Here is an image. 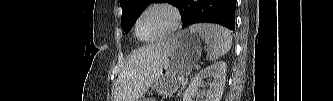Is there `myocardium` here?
<instances>
[{
  "label": "myocardium",
  "mask_w": 333,
  "mask_h": 101,
  "mask_svg": "<svg viewBox=\"0 0 333 101\" xmlns=\"http://www.w3.org/2000/svg\"><path fill=\"white\" fill-rule=\"evenodd\" d=\"M153 10H165V11L169 12L173 17V23H172L171 27L163 34H161L157 37H154V38L146 39L140 35L139 23L145 14H147L148 12H151ZM181 21H182V15L177 7H175L174 5L169 4V3H156V4H153L149 7H147L138 15V17L135 21V33H136L137 38L140 39L141 41L154 42L157 40L164 39V38L170 36L171 34H173L180 27Z\"/></svg>",
  "instance_id": "myocardium-1"
}]
</instances>
